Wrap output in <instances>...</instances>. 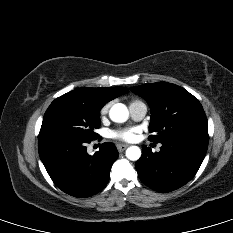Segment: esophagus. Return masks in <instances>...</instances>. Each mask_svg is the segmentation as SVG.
Returning a JSON list of instances; mask_svg holds the SVG:
<instances>
[{
	"instance_id": "esophagus-1",
	"label": "esophagus",
	"mask_w": 233,
	"mask_h": 233,
	"mask_svg": "<svg viewBox=\"0 0 233 233\" xmlns=\"http://www.w3.org/2000/svg\"><path fill=\"white\" fill-rule=\"evenodd\" d=\"M127 147H128V145H126V144H118L117 145V149L119 152H123Z\"/></svg>"
}]
</instances>
